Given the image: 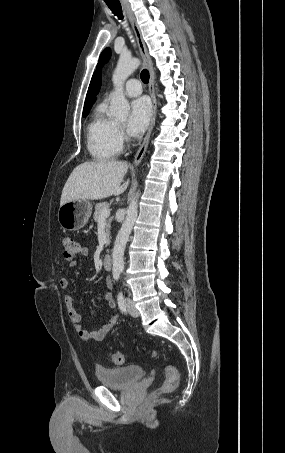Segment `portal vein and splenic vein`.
Listing matches in <instances>:
<instances>
[{"instance_id": "1", "label": "portal vein and splenic vein", "mask_w": 285, "mask_h": 453, "mask_svg": "<svg viewBox=\"0 0 285 453\" xmlns=\"http://www.w3.org/2000/svg\"><path fill=\"white\" fill-rule=\"evenodd\" d=\"M109 215H110V210H109V208H108V209H104V210L102 211V213H101L100 218H101V219H104V218H107Z\"/></svg>"}]
</instances>
